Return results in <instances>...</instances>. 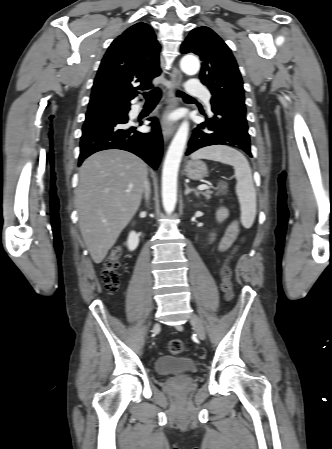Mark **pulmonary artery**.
Returning <instances> with one entry per match:
<instances>
[{
	"instance_id": "e3ab8cb5",
	"label": "pulmonary artery",
	"mask_w": 332,
	"mask_h": 449,
	"mask_svg": "<svg viewBox=\"0 0 332 449\" xmlns=\"http://www.w3.org/2000/svg\"><path fill=\"white\" fill-rule=\"evenodd\" d=\"M187 91L193 96L200 97L205 102V104L210 107V92L205 86L198 83L195 79L191 80V82L187 86Z\"/></svg>"
}]
</instances>
